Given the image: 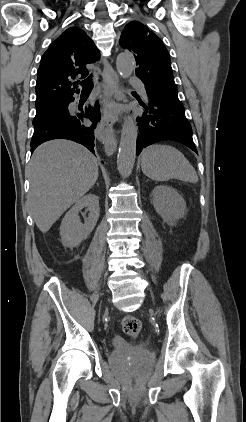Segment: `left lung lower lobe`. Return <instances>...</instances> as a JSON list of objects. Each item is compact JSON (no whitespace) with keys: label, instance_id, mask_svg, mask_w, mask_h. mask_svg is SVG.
<instances>
[{"label":"left lung lower lobe","instance_id":"0a47b994","mask_svg":"<svg viewBox=\"0 0 246 422\" xmlns=\"http://www.w3.org/2000/svg\"><path fill=\"white\" fill-rule=\"evenodd\" d=\"M139 103L144 112L137 117V155L143 148L163 140L180 142L197 153L183 106L173 105L150 91H147L145 101Z\"/></svg>","mask_w":246,"mask_h":422}]
</instances>
